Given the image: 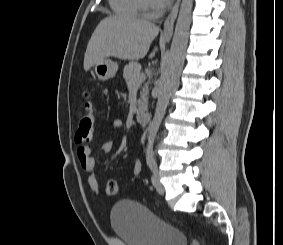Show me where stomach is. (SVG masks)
Masks as SVG:
<instances>
[{"label":"stomach","mask_w":283,"mask_h":245,"mask_svg":"<svg viewBox=\"0 0 283 245\" xmlns=\"http://www.w3.org/2000/svg\"><path fill=\"white\" fill-rule=\"evenodd\" d=\"M118 71V64L110 59H103L94 65L95 75L99 80L106 81L113 78Z\"/></svg>","instance_id":"obj_1"}]
</instances>
